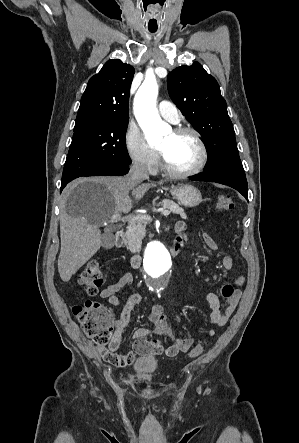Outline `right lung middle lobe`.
Segmentation results:
<instances>
[{
  "instance_id": "dd1d6c3e",
  "label": "right lung middle lobe",
  "mask_w": 299,
  "mask_h": 443,
  "mask_svg": "<svg viewBox=\"0 0 299 443\" xmlns=\"http://www.w3.org/2000/svg\"><path fill=\"white\" fill-rule=\"evenodd\" d=\"M129 120H105L74 129L62 182L100 166L132 161L125 145Z\"/></svg>"
}]
</instances>
